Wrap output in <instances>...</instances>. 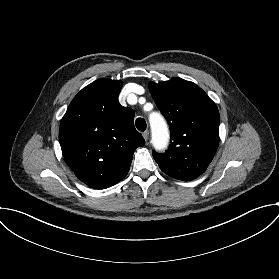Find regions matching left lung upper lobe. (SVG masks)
<instances>
[{"label": "left lung upper lobe", "mask_w": 279, "mask_h": 279, "mask_svg": "<svg viewBox=\"0 0 279 279\" xmlns=\"http://www.w3.org/2000/svg\"><path fill=\"white\" fill-rule=\"evenodd\" d=\"M149 90L168 121L172 140L164 154L153 152V157L167 175L193 180L206 170L218 148L217 106L196 84L177 77L151 82Z\"/></svg>", "instance_id": "left-lung-upper-lobe-1"}]
</instances>
